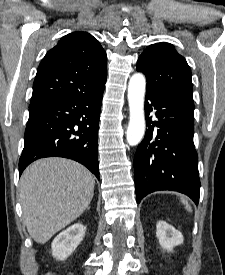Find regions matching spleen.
<instances>
[{
    "instance_id": "obj_1",
    "label": "spleen",
    "mask_w": 225,
    "mask_h": 275,
    "mask_svg": "<svg viewBox=\"0 0 225 275\" xmlns=\"http://www.w3.org/2000/svg\"><path fill=\"white\" fill-rule=\"evenodd\" d=\"M181 202L184 204L186 210L191 212V207H190L189 203L184 198H181Z\"/></svg>"
}]
</instances>
